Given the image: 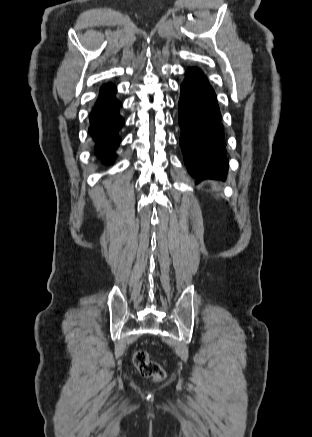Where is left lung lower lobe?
I'll return each instance as SVG.
<instances>
[{"instance_id": "1", "label": "left lung lower lobe", "mask_w": 312, "mask_h": 437, "mask_svg": "<svg viewBox=\"0 0 312 437\" xmlns=\"http://www.w3.org/2000/svg\"><path fill=\"white\" fill-rule=\"evenodd\" d=\"M178 106L180 146L189 173L197 180L225 179L228 161L217 97L198 68L186 72Z\"/></svg>"}]
</instances>
